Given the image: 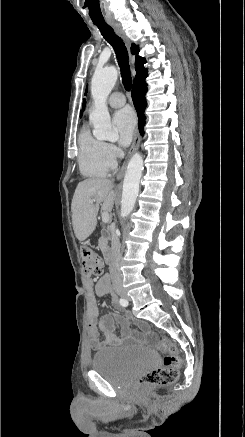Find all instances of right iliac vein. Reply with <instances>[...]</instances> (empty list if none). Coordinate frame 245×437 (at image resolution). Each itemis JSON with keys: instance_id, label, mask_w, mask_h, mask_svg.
Masks as SVG:
<instances>
[{"instance_id": "right-iliac-vein-1", "label": "right iliac vein", "mask_w": 245, "mask_h": 437, "mask_svg": "<svg viewBox=\"0 0 245 437\" xmlns=\"http://www.w3.org/2000/svg\"><path fill=\"white\" fill-rule=\"evenodd\" d=\"M118 293H119L121 296H123V297L126 296L125 292H123V291H119Z\"/></svg>"}]
</instances>
